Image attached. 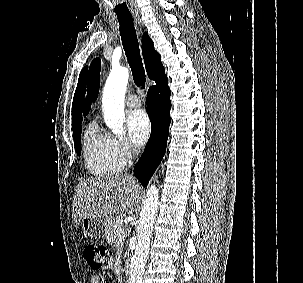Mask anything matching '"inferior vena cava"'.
<instances>
[{
  "mask_svg": "<svg viewBox=\"0 0 303 283\" xmlns=\"http://www.w3.org/2000/svg\"><path fill=\"white\" fill-rule=\"evenodd\" d=\"M135 153L138 155V154H139V151H138V150H135Z\"/></svg>",
  "mask_w": 303,
  "mask_h": 283,
  "instance_id": "obj_1",
  "label": "inferior vena cava"
}]
</instances>
